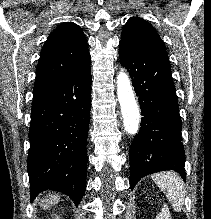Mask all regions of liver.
Listing matches in <instances>:
<instances>
[{"label":"liver","mask_w":211,"mask_h":219,"mask_svg":"<svg viewBox=\"0 0 211 219\" xmlns=\"http://www.w3.org/2000/svg\"><path fill=\"white\" fill-rule=\"evenodd\" d=\"M60 201V195L58 193H49L40 200V206L43 209H48Z\"/></svg>","instance_id":"liver-1"}]
</instances>
